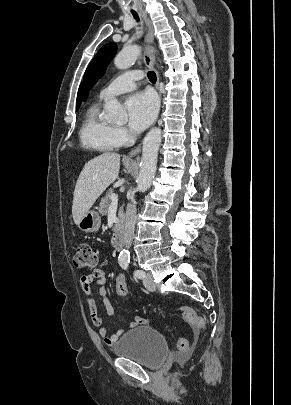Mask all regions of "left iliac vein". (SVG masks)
Instances as JSON below:
<instances>
[{
  "label": "left iliac vein",
  "mask_w": 291,
  "mask_h": 405,
  "mask_svg": "<svg viewBox=\"0 0 291 405\" xmlns=\"http://www.w3.org/2000/svg\"><path fill=\"white\" fill-rule=\"evenodd\" d=\"M143 284L145 288L149 291L156 290V286L150 273H145V276L143 277Z\"/></svg>",
  "instance_id": "4c4485c4"
}]
</instances>
